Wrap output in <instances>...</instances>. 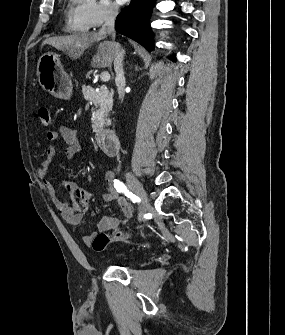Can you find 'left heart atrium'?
I'll use <instances>...</instances> for the list:
<instances>
[{
  "mask_svg": "<svg viewBox=\"0 0 285 335\" xmlns=\"http://www.w3.org/2000/svg\"><path fill=\"white\" fill-rule=\"evenodd\" d=\"M120 4H125L127 3L128 1H118Z\"/></svg>",
  "mask_w": 285,
  "mask_h": 335,
  "instance_id": "obj_1",
  "label": "left heart atrium"
}]
</instances>
